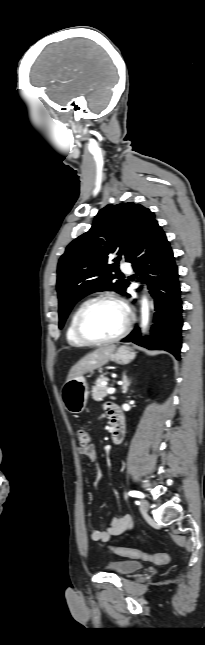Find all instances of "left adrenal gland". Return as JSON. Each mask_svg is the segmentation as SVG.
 Returning a JSON list of instances; mask_svg holds the SVG:
<instances>
[{
	"mask_svg": "<svg viewBox=\"0 0 205 645\" xmlns=\"http://www.w3.org/2000/svg\"><path fill=\"white\" fill-rule=\"evenodd\" d=\"M123 384H122V392L125 394L128 391V387L130 385V380L127 378L126 374H123Z\"/></svg>",
	"mask_w": 205,
	"mask_h": 645,
	"instance_id": "left-adrenal-gland-1",
	"label": "left adrenal gland"
}]
</instances>
